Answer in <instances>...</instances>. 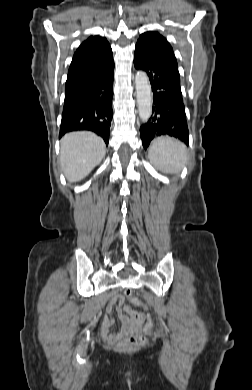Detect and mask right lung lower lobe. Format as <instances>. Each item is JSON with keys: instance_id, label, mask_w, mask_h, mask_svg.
I'll return each mask as SVG.
<instances>
[{"instance_id": "right-lung-lower-lobe-1", "label": "right lung lower lobe", "mask_w": 252, "mask_h": 390, "mask_svg": "<svg viewBox=\"0 0 252 390\" xmlns=\"http://www.w3.org/2000/svg\"><path fill=\"white\" fill-rule=\"evenodd\" d=\"M112 68L102 76L88 78L65 88V101L59 137L74 130H90L109 142L111 126Z\"/></svg>"}]
</instances>
